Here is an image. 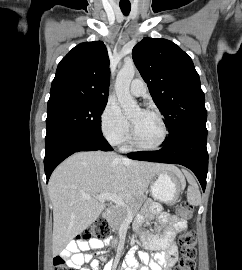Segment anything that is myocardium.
I'll use <instances>...</instances> for the list:
<instances>
[{
  "mask_svg": "<svg viewBox=\"0 0 242 270\" xmlns=\"http://www.w3.org/2000/svg\"><path fill=\"white\" fill-rule=\"evenodd\" d=\"M143 111L149 112L158 118L161 125V129H162L161 138L157 143L152 144V145L141 144L140 142H138L136 138L135 130H134L133 124L131 123V144L134 148L141 151H153V150L160 149L166 143L167 138H168V133H169L165 119L163 115L156 109L149 108V109H144Z\"/></svg>",
  "mask_w": 242,
  "mask_h": 270,
  "instance_id": "1",
  "label": "myocardium"
}]
</instances>
